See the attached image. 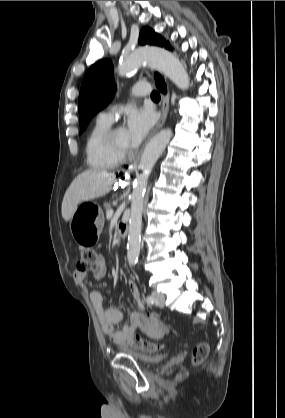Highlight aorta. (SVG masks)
<instances>
[{"label":"aorta","instance_id":"obj_1","mask_svg":"<svg viewBox=\"0 0 285 418\" xmlns=\"http://www.w3.org/2000/svg\"><path fill=\"white\" fill-rule=\"evenodd\" d=\"M142 63H147L150 67L163 73L181 90L189 88L190 80L182 63L172 53L161 48L149 47L135 50L123 58L118 67V73L120 76H125ZM171 137L172 131L170 129L159 132L147 143L140 159L138 168L141 172L134 180L131 194L127 242V259L130 265L137 263L140 253L142 213L147 182L155 163L164 152Z\"/></svg>","mask_w":285,"mask_h":418}]
</instances>
